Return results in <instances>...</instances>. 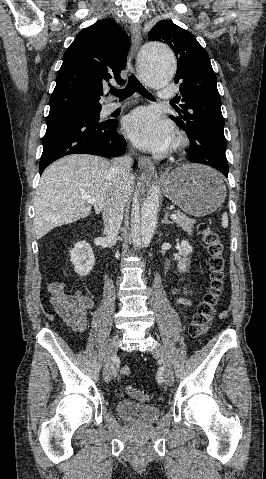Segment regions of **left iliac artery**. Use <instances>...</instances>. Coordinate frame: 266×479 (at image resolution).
<instances>
[{
    "mask_svg": "<svg viewBox=\"0 0 266 479\" xmlns=\"http://www.w3.org/2000/svg\"><path fill=\"white\" fill-rule=\"evenodd\" d=\"M163 370H164L163 363H162V362H159V363H158V367H157V371H156V372H157L156 375H157V379H158V382H159V383L163 382V378H164V377H163V374H162Z\"/></svg>",
    "mask_w": 266,
    "mask_h": 479,
    "instance_id": "left-iliac-artery-1",
    "label": "left iliac artery"
}]
</instances>
